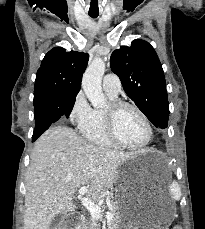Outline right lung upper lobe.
<instances>
[{"label":"right lung upper lobe","instance_id":"right-lung-upper-lobe-1","mask_svg":"<svg viewBox=\"0 0 205 229\" xmlns=\"http://www.w3.org/2000/svg\"><path fill=\"white\" fill-rule=\"evenodd\" d=\"M88 58L87 53L65 52L62 47L50 50L36 75L34 101L77 95Z\"/></svg>","mask_w":205,"mask_h":229}]
</instances>
